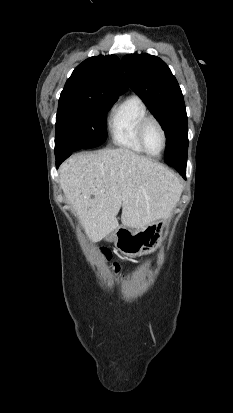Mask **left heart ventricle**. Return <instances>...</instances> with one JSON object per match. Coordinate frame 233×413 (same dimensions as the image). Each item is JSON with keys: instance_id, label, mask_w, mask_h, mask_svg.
<instances>
[{"instance_id": "1", "label": "left heart ventricle", "mask_w": 233, "mask_h": 413, "mask_svg": "<svg viewBox=\"0 0 233 413\" xmlns=\"http://www.w3.org/2000/svg\"><path fill=\"white\" fill-rule=\"evenodd\" d=\"M145 144L149 152L157 154L163 144V138L160 129L154 122H149L144 132Z\"/></svg>"}]
</instances>
